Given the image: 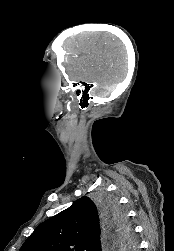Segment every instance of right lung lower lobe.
Returning <instances> with one entry per match:
<instances>
[{"label":"right lung lower lobe","instance_id":"right-lung-lower-lobe-1","mask_svg":"<svg viewBox=\"0 0 174 251\" xmlns=\"http://www.w3.org/2000/svg\"><path fill=\"white\" fill-rule=\"evenodd\" d=\"M103 228H104V237L102 239V245H103V248H104L106 246L107 242L109 240H111L110 236L112 234V228L106 222L104 223ZM101 251H103V250H101Z\"/></svg>","mask_w":174,"mask_h":251}]
</instances>
